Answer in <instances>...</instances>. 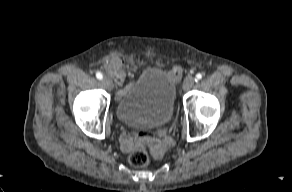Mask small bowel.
Returning a JSON list of instances; mask_svg holds the SVG:
<instances>
[{
  "label": "small bowel",
  "instance_id": "1",
  "mask_svg": "<svg viewBox=\"0 0 292 192\" xmlns=\"http://www.w3.org/2000/svg\"><path fill=\"white\" fill-rule=\"evenodd\" d=\"M182 74V69L180 67H174L171 70L167 71V75L173 80L177 81ZM174 134V129L172 127H167L166 129H160L158 131V136L161 139V142L158 139H153L151 141V146L153 149V154L155 156H160L163 149L170 144V139L166 136H172ZM145 135L147 138L153 137L155 135V130L153 128H147L145 130ZM144 135H137L135 138L130 137L126 133H122L120 136L121 146L125 152H130L142 148Z\"/></svg>",
  "mask_w": 292,
  "mask_h": 192
}]
</instances>
